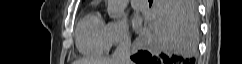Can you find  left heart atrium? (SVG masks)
<instances>
[{"instance_id":"39dd6f15","label":"left heart atrium","mask_w":242,"mask_h":64,"mask_svg":"<svg viewBox=\"0 0 242 64\" xmlns=\"http://www.w3.org/2000/svg\"><path fill=\"white\" fill-rule=\"evenodd\" d=\"M135 27H136V28L138 27V24H137V23H135Z\"/></svg>"}]
</instances>
